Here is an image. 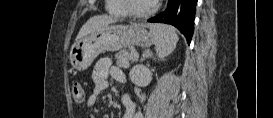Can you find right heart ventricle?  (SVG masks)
Returning a JSON list of instances; mask_svg holds the SVG:
<instances>
[{"mask_svg": "<svg viewBox=\"0 0 273 118\" xmlns=\"http://www.w3.org/2000/svg\"><path fill=\"white\" fill-rule=\"evenodd\" d=\"M106 9L115 15L127 14L124 0H107Z\"/></svg>", "mask_w": 273, "mask_h": 118, "instance_id": "right-heart-ventricle-1", "label": "right heart ventricle"}]
</instances>
